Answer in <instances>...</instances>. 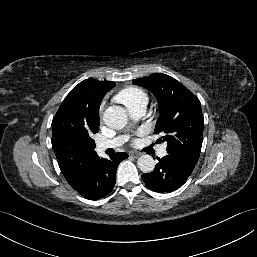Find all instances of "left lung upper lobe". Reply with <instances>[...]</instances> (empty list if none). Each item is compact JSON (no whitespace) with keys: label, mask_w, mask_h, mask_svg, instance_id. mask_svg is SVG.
<instances>
[{"label":"left lung upper lobe","mask_w":257,"mask_h":257,"mask_svg":"<svg viewBox=\"0 0 257 257\" xmlns=\"http://www.w3.org/2000/svg\"><path fill=\"white\" fill-rule=\"evenodd\" d=\"M133 83L151 91L158 101L160 116L155 133L165 134L167 152L196 164L204 128L199 99L179 81L163 73L138 78Z\"/></svg>","instance_id":"obj_1"}]
</instances>
